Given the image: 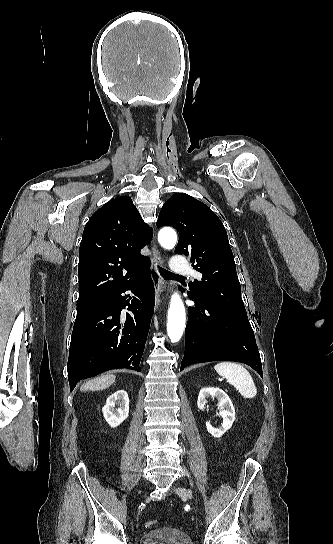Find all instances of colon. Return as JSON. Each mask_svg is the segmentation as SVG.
Wrapping results in <instances>:
<instances>
[{"mask_svg": "<svg viewBox=\"0 0 333 544\" xmlns=\"http://www.w3.org/2000/svg\"><path fill=\"white\" fill-rule=\"evenodd\" d=\"M156 526H157V522L154 520L147 521L145 524V527L147 529H152V528H155Z\"/></svg>", "mask_w": 333, "mask_h": 544, "instance_id": "colon-1", "label": "colon"}]
</instances>
